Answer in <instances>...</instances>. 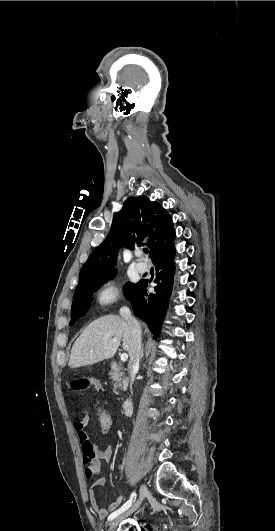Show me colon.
I'll use <instances>...</instances> for the list:
<instances>
[{
	"label": "colon",
	"instance_id": "colon-1",
	"mask_svg": "<svg viewBox=\"0 0 275 531\" xmlns=\"http://www.w3.org/2000/svg\"><path fill=\"white\" fill-rule=\"evenodd\" d=\"M97 420L102 431H107L111 428L112 421L108 412L104 410L97 411Z\"/></svg>",
	"mask_w": 275,
	"mask_h": 531
}]
</instances>
